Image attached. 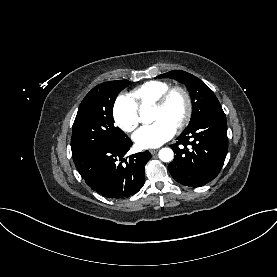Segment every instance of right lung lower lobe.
<instances>
[{"label":"right lung lower lobe","instance_id":"obj_1","mask_svg":"<svg viewBox=\"0 0 277 277\" xmlns=\"http://www.w3.org/2000/svg\"><path fill=\"white\" fill-rule=\"evenodd\" d=\"M132 146L128 138L123 143H104L90 147L74 156L75 166L92 190L107 198L120 199L137 193L145 181V165L151 159L149 151L124 155Z\"/></svg>","mask_w":277,"mask_h":277}]
</instances>
